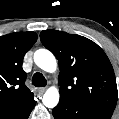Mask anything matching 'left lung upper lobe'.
I'll list each match as a JSON object with an SVG mask.
<instances>
[{"label":"left lung upper lobe","mask_w":119,"mask_h":119,"mask_svg":"<svg viewBox=\"0 0 119 119\" xmlns=\"http://www.w3.org/2000/svg\"><path fill=\"white\" fill-rule=\"evenodd\" d=\"M40 38L59 61L60 100L81 108L113 112L117 103V85L104 51L83 36L57 30H44Z\"/></svg>","instance_id":"1"}]
</instances>
